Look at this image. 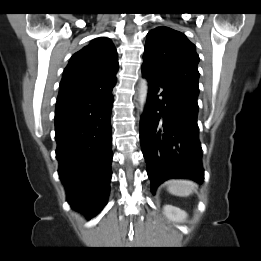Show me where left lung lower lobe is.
<instances>
[{
    "label": "left lung lower lobe",
    "instance_id": "0a47b994",
    "mask_svg": "<svg viewBox=\"0 0 261 261\" xmlns=\"http://www.w3.org/2000/svg\"><path fill=\"white\" fill-rule=\"evenodd\" d=\"M148 98L140 122V142L151 192L169 178L204 179L197 124L199 92L144 68Z\"/></svg>",
    "mask_w": 261,
    "mask_h": 261
}]
</instances>
